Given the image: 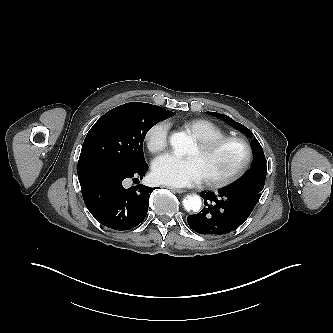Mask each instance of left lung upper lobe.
<instances>
[{
  "mask_svg": "<svg viewBox=\"0 0 333 333\" xmlns=\"http://www.w3.org/2000/svg\"><path fill=\"white\" fill-rule=\"evenodd\" d=\"M209 114L223 120L227 124L242 131L248 136H251V131L247 127L234 121L232 118L216 112H209ZM251 148L253 151V165L251 170L247 172L241 179L229 185L227 188L234 191L250 193L260 197L265 185V178L267 173L266 158L263 149L257 139L252 141Z\"/></svg>",
  "mask_w": 333,
  "mask_h": 333,
  "instance_id": "1",
  "label": "left lung upper lobe"
}]
</instances>
